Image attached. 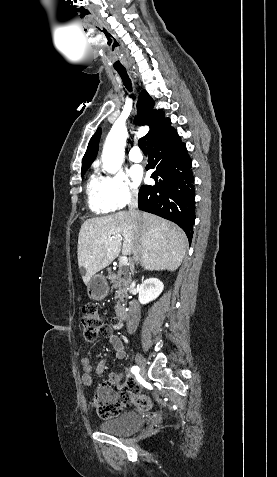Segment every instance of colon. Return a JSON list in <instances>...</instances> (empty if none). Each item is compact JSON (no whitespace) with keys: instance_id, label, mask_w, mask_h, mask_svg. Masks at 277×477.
Returning a JSON list of instances; mask_svg holds the SVG:
<instances>
[{"instance_id":"1","label":"colon","mask_w":277,"mask_h":477,"mask_svg":"<svg viewBox=\"0 0 277 477\" xmlns=\"http://www.w3.org/2000/svg\"><path fill=\"white\" fill-rule=\"evenodd\" d=\"M81 326L86 343L95 342L103 329L101 316L95 305L88 304L83 308ZM131 404L140 411L152 408L151 399L141 394L133 382L119 385L111 380L105 381L97 388L93 400L94 408L102 418L117 416L123 407Z\"/></svg>"}]
</instances>
